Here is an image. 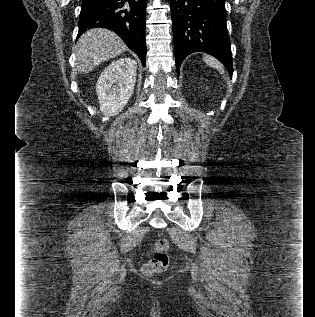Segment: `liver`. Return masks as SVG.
Masks as SVG:
<instances>
[{"label": "liver", "mask_w": 315, "mask_h": 317, "mask_svg": "<svg viewBox=\"0 0 315 317\" xmlns=\"http://www.w3.org/2000/svg\"><path fill=\"white\" fill-rule=\"evenodd\" d=\"M126 50V45L112 31L102 28L89 30L74 47L78 72L88 73Z\"/></svg>", "instance_id": "6515ba94"}]
</instances>
